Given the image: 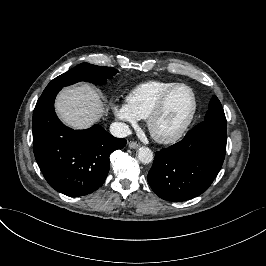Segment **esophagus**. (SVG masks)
Instances as JSON below:
<instances>
[{"mask_svg": "<svg viewBox=\"0 0 266 266\" xmlns=\"http://www.w3.org/2000/svg\"><path fill=\"white\" fill-rule=\"evenodd\" d=\"M129 147L132 148V149H137L140 147V144L137 143V142H134V141H130L129 142Z\"/></svg>", "mask_w": 266, "mask_h": 266, "instance_id": "obj_1", "label": "esophagus"}]
</instances>
